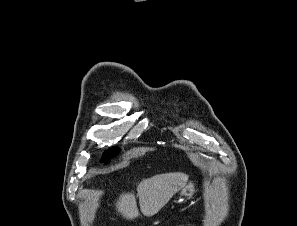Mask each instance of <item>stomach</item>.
I'll return each mask as SVG.
<instances>
[{
    "mask_svg": "<svg viewBox=\"0 0 297 226\" xmlns=\"http://www.w3.org/2000/svg\"><path fill=\"white\" fill-rule=\"evenodd\" d=\"M195 192V184L193 182H189L180 190L179 198L180 200H183L185 198L190 199Z\"/></svg>",
    "mask_w": 297,
    "mask_h": 226,
    "instance_id": "1",
    "label": "stomach"
}]
</instances>
